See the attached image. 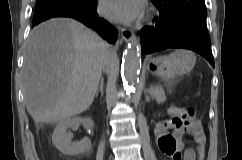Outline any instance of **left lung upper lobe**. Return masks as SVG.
Masks as SVG:
<instances>
[{
  "mask_svg": "<svg viewBox=\"0 0 242 160\" xmlns=\"http://www.w3.org/2000/svg\"><path fill=\"white\" fill-rule=\"evenodd\" d=\"M160 14L173 19L206 18L205 0H151Z\"/></svg>",
  "mask_w": 242,
  "mask_h": 160,
  "instance_id": "obj_1",
  "label": "left lung upper lobe"
}]
</instances>
